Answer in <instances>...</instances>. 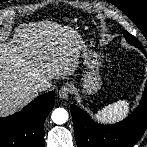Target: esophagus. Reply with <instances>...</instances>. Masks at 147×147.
Wrapping results in <instances>:
<instances>
[{
    "label": "esophagus",
    "instance_id": "34e87169",
    "mask_svg": "<svg viewBox=\"0 0 147 147\" xmlns=\"http://www.w3.org/2000/svg\"><path fill=\"white\" fill-rule=\"evenodd\" d=\"M70 92H72V87L70 85L63 86L59 91V97L61 99H68Z\"/></svg>",
    "mask_w": 147,
    "mask_h": 147
}]
</instances>
